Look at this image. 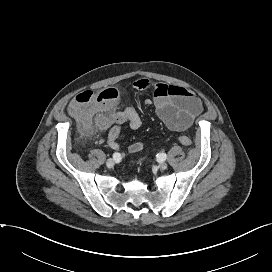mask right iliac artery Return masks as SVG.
I'll return each instance as SVG.
<instances>
[{
    "label": "right iliac artery",
    "instance_id": "1",
    "mask_svg": "<svg viewBox=\"0 0 272 272\" xmlns=\"http://www.w3.org/2000/svg\"><path fill=\"white\" fill-rule=\"evenodd\" d=\"M113 158H114L115 161H120V160H121V155H120V153L115 152V153L113 154Z\"/></svg>",
    "mask_w": 272,
    "mask_h": 272
}]
</instances>
